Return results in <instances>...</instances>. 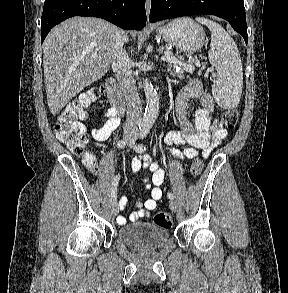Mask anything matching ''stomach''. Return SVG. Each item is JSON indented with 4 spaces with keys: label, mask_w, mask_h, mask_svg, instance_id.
<instances>
[{
    "label": "stomach",
    "mask_w": 288,
    "mask_h": 293,
    "mask_svg": "<svg viewBox=\"0 0 288 293\" xmlns=\"http://www.w3.org/2000/svg\"><path fill=\"white\" fill-rule=\"evenodd\" d=\"M156 33L176 49L194 53L205 43V31L190 18H179L165 26L157 27Z\"/></svg>",
    "instance_id": "0dacf381"
}]
</instances>
